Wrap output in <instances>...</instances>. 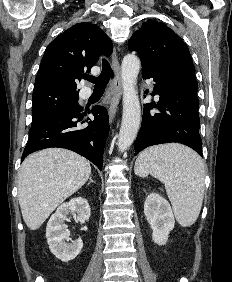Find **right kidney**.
Wrapping results in <instances>:
<instances>
[{
  "instance_id": "ca27d5eb",
  "label": "right kidney",
  "mask_w": 232,
  "mask_h": 282,
  "mask_svg": "<svg viewBox=\"0 0 232 282\" xmlns=\"http://www.w3.org/2000/svg\"><path fill=\"white\" fill-rule=\"evenodd\" d=\"M90 211L87 200L77 197L61 204L50 217L46 228V238L51 252L61 261L68 262L73 260L83 247L81 239H76L72 243H66L70 236L69 231L66 230L63 224L66 216L70 213H77V220L84 223L89 220Z\"/></svg>"
}]
</instances>
